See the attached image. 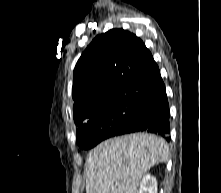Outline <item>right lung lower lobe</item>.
<instances>
[{
    "mask_svg": "<svg viewBox=\"0 0 221 193\" xmlns=\"http://www.w3.org/2000/svg\"><path fill=\"white\" fill-rule=\"evenodd\" d=\"M169 104L162 78L146 99L145 110L131 124L121 128L114 136L133 132H151L170 141Z\"/></svg>",
    "mask_w": 221,
    "mask_h": 193,
    "instance_id": "1",
    "label": "right lung lower lobe"
}]
</instances>
